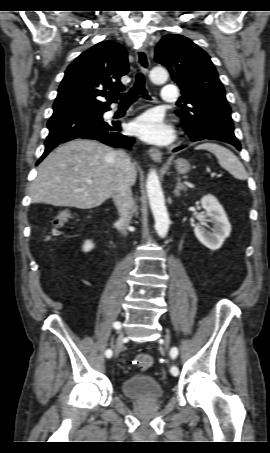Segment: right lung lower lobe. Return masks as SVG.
Listing matches in <instances>:
<instances>
[{
  "label": "right lung lower lobe",
  "mask_w": 270,
  "mask_h": 453,
  "mask_svg": "<svg viewBox=\"0 0 270 453\" xmlns=\"http://www.w3.org/2000/svg\"><path fill=\"white\" fill-rule=\"evenodd\" d=\"M109 107L54 114L48 121L49 135L45 141L43 158L58 144L75 138L94 139L113 147L129 148L134 139L121 133L119 123L103 121L102 115Z\"/></svg>",
  "instance_id": "right-lung-lower-lobe-1"
}]
</instances>
